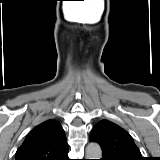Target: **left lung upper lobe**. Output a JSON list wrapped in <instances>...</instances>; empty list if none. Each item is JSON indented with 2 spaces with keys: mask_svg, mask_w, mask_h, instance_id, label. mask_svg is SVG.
Masks as SVG:
<instances>
[{
  "mask_svg": "<svg viewBox=\"0 0 160 160\" xmlns=\"http://www.w3.org/2000/svg\"><path fill=\"white\" fill-rule=\"evenodd\" d=\"M89 140L100 144L104 160H144L130 134L111 121L98 122Z\"/></svg>",
  "mask_w": 160,
  "mask_h": 160,
  "instance_id": "5c2ea615",
  "label": "left lung upper lobe"
}]
</instances>
